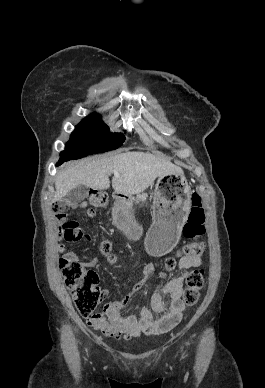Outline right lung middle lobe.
<instances>
[{
  "label": "right lung middle lobe",
  "mask_w": 265,
  "mask_h": 388,
  "mask_svg": "<svg viewBox=\"0 0 265 388\" xmlns=\"http://www.w3.org/2000/svg\"><path fill=\"white\" fill-rule=\"evenodd\" d=\"M124 140V135L110 133L109 127L103 123L100 116L90 114L76 126L65 151L60 153V161L114 150L121 146Z\"/></svg>",
  "instance_id": "right-lung-middle-lobe-1"
}]
</instances>
